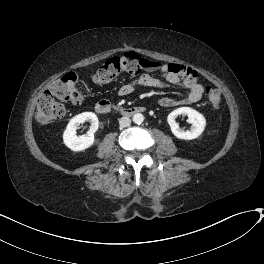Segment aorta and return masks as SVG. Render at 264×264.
I'll return each instance as SVG.
<instances>
[{"instance_id": "762f6f07", "label": "aorta", "mask_w": 264, "mask_h": 264, "mask_svg": "<svg viewBox=\"0 0 264 264\" xmlns=\"http://www.w3.org/2000/svg\"><path fill=\"white\" fill-rule=\"evenodd\" d=\"M132 120L135 124H141L144 121V116L141 113H136L133 115Z\"/></svg>"}]
</instances>
